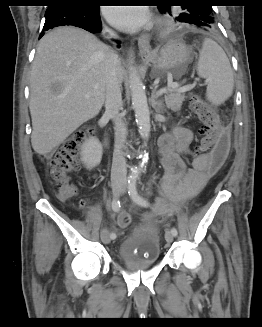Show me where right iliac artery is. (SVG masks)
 I'll return each mask as SVG.
<instances>
[{"mask_svg": "<svg viewBox=\"0 0 262 327\" xmlns=\"http://www.w3.org/2000/svg\"><path fill=\"white\" fill-rule=\"evenodd\" d=\"M129 180H128V182H129ZM120 207H121V205H120L119 198L118 197L114 198L113 201H112V209H113V211L118 212L120 210ZM110 237L112 239H115L116 238V234L115 233H112L110 235Z\"/></svg>", "mask_w": 262, "mask_h": 327, "instance_id": "obj_1", "label": "right iliac artery"}]
</instances>
